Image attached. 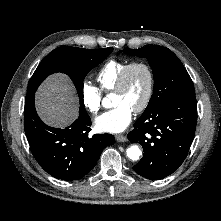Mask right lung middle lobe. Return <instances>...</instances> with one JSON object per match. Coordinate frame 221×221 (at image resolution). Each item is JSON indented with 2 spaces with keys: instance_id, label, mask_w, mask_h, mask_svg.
Instances as JSON below:
<instances>
[{
  "instance_id": "right-lung-middle-lobe-1",
  "label": "right lung middle lobe",
  "mask_w": 221,
  "mask_h": 221,
  "mask_svg": "<svg viewBox=\"0 0 221 221\" xmlns=\"http://www.w3.org/2000/svg\"><path fill=\"white\" fill-rule=\"evenodd\" d=\"M112 51V47L96 50L70 46L58 47L40 62L31 77L27 93L35 92L50 74L61 72L73 81L80 99V106L84 107L83 80L87 73L103 62Z\"/></svg>"
}]
</instances>
